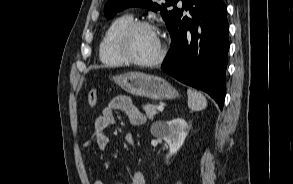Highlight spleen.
<instances>
[{
    "label": "spleen",
    "mask_w": 293,
    "mask_h": 184,
    "mask_svg": "<svg viewBox=\"0 0 293 184\" xmlns=\"http://www.w3.org/2000/svg\"><path fill=\"white\" fill-rule=\"evenodd\" d=\"M188 107L193 111H200L206 108L207 100L201 92L188 89Z\"/></svg>",
    "instance_id": "obj_1"
}]
</instances>
